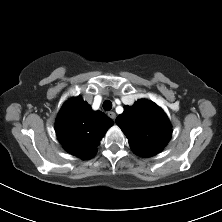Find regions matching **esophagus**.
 <instances>
[{
	"instance_id": "esophagus-1",
	"label": "esophagus",
	"mask_w": 222,
	"mask_h": 222,
	"mask_svg": "<svg viewBox=\"0 0 222 222\" xmlns=\"http://www.w3.org/2000/svg\"><path fill=\"white\" fill-rule=\"evenodd\" d=\"M108 116L111 118V119H115V117H116V114H115V112H113V111H110V112H108Z\"/></svg>"
}]
</instances>
